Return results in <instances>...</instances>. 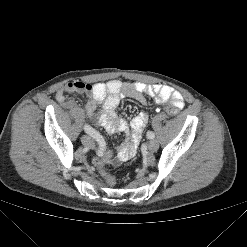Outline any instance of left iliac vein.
<instances>
[{"mask_svg": "<svg viewBox=\"0 0 247 247\" xmlns=\"http://www.w3.org/2000/svg\"><path fill=\"white\" fill-rule=\"evenodd\" d=\"M158 147H159V144H158L157 140H155V139H152L148 144V149L151 152H155L158 149Z\"/></svg>", "mask_w": 247, "mask_h": 247, "instance_id": "obj_1", "label": "left iliac vein"}]
</instances>
